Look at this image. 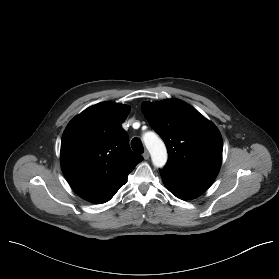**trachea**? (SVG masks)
I'll return each mask as SVG.
<instances>
[{
	"mask_svg": "<svg viewBox=\"0 0 279 279\" xmlns=\"http://www.w3.org/2000/svg\"><path fill=\"white\" fill-rule=\"evenodd\" d=\"M131 147H132L133 151H135L137 153H143L144 152V147H143L139 138H133L132 139Z\"/></svg>",
	"mask_w": 279,
	"mask_h": 279,
	"instance_id": "3493384b",
	"label": "trachea"
}]
</instances>
